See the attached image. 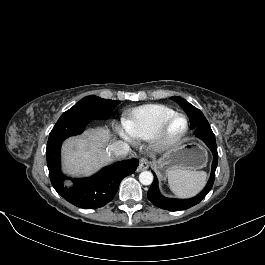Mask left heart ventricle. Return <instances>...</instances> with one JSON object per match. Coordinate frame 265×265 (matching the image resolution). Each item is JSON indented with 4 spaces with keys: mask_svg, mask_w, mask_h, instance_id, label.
I'll return each instance as SVG.
<instances>
[{
    "mask_svg": "<svg viewBox=\"0 0 265 265\" xmlns=\"http://www.w3.org/2000/svg\"><path fill=\"white\" fill-rule=\"evenodd\" d=\"M184 127V120L182 118H176L171 127H170V134L175 135L178 134Z\"/></svg>",
    "mask_w": 265,
    "mask_h": 265,
    "instance_id": "obj_1",
    "label": "left heart ventricle"
}]
</instances>
